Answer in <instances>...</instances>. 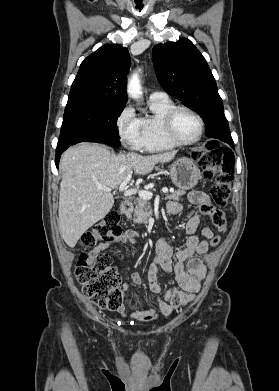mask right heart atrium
I'll use <instances>...</instances> for the list:
<instances>
[{"label":"right heart atrium","instance_id":"d8ad5b80","mask_svg":"<svg viewBox=\"0 0 279 391\" xmlns=\"http://www.w3.org/2000/svg\"><path fill=\"white\" fill-rule=\"evenodd\" d=\"M118 136L127 147L140 149V119L130 105L124 106L115 121Z\"/></svg>","mask_w":279,"mask_h":391}]
</instances>
